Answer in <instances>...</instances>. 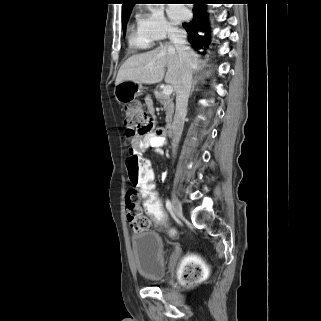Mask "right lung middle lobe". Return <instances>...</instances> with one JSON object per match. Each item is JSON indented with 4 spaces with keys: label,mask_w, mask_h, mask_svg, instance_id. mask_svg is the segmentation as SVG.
Masks as SVG:
<instances>
[{
    "label": "right lung middle lobe",
    "mask_w": 321,
    "mask_h": 321,
    "mask_svg": "<svg viewBox=\"0 0 321 321\" xmlns=\"http://www.w3.org/2000/svg\"><path fill=\"white\" fill-rule=\"evenodd\" d=\"M130 13H131V12H127V13H125L124 15H122L123 34H125L126 25H127L128 18H129V16H130Z\"/></svg>",
    "instance_id": "dd1d6c3e"
}]
</instances>
